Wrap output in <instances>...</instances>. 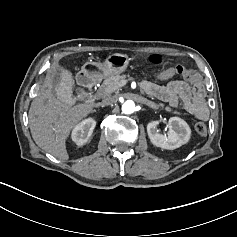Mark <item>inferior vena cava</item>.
<instances>
[{
    "label": "inferior vena cava",
    "mask_w": 237,
    "mask_h": 237,
    "mask_svg": "<svg viewBox=\"0 0 237 237\" xmlns=\"http://www.w3.org/2000/svg\"><path fill=\"white\" fill-rule=\"evenodd\" d=\"M116 102V97L114 96H106L103 100H102V105L103 106H110L115 104Z\"/></svg>",
    "instance_id": "inferior-vena-cava-1"
}]
</instances>
